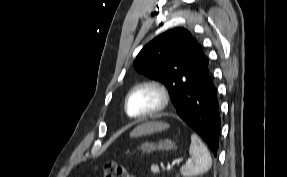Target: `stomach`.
Segmentation results:
<instances>
[{"mask_svg":"<svg viewBox=\"0 0 287 177\" xmlns=\"http://www.w3.org/2000/svg\"><path fill=\"white\" fill-rule=\"evenodd\" d=\"M175 143L172 142L171 140L165 139L161 140L158 143H153V142H145L142 144L140 147H138L139 150L142 152L150 153L155 150H171L174 149Z\"/></svg>","mask_w":287,"mask_h":177,"instance_id":"1","label":"stomach"}]
</instances>
